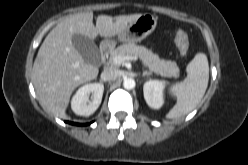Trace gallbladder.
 <instances>
[{"label": "gallbladder", "instance_id": "obj_1", "mask_svg": "<svg viewBox=\"0 0 248 165\" xmlns=\"http://www.w3.org/2000/svg\"><path fill=\"white\" fill-rule=\"evenodd\" d=\"M72 43L86 63L94 66L100 64V52L92 39L81 34H74L72 37Z\"/></svg>", "mask_w": 248, "mask_h": 165}]
</instances>
